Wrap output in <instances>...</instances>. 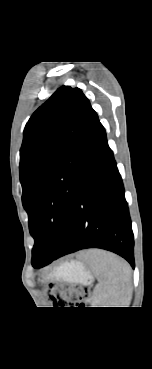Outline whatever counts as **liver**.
I'll return each instance as SVG.
<instances>
[{
	"mask_svg": "<svg viewBox=\"0 0 152 369\" xmlns=\"http://www.w3.org/2000/svg\"><path fill=\"white\" fill-rule=\"evenodd\" d=\"M90 255V251H88L87 253H86V257H88Z\"/></svg>",
	"mask_w": 152,
	"mask_h": 369,
	"instance_id": "liver-1",
	"label": "liver"
}]
</instances>
